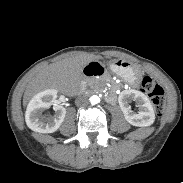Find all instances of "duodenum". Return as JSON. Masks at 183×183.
<instances>
[{"instance_id":"obj_1","label":"duodenum","mask_w":183,"mask_h":183,"mask_svg":"<svg viewBox=\"0 0 183 183\" xmlns=\"http://www.w3.org/2000/svg\"><path fill=\"white\" fill-rule=\"evenodd\" d=\"M83 73L86 78L92 79L103 76L104 69L99 63H91L84 68Z\"/></svg>"}]
</instances>
